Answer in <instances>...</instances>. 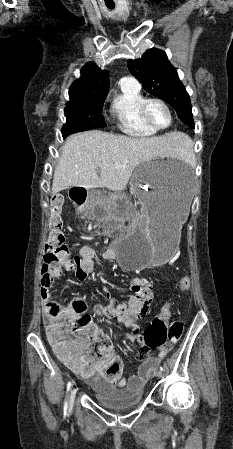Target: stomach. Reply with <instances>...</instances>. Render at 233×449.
I'll use <instances>...</instances> for the list:
<instances>
[{"label":"stomach","instance_id":"0dacf381","mask_svg":"<svg viewBox=\"0 0 233 449\" xmlns=\"http://www.w3.org/2000/svg\"><path fill=\"white\" fill-rule=\"evenodd\" d=\"M132 193L145 207L143 220L116 243V259L125 270L162 265L175 254L180 229L188 218L193 179L189 166L180 161H147L139 164L130 182ZM119 195L91 197L83 212L91 219L124 221ZM110 208V209H109Z\"/></svg>","mask_w":233,"mask_h":449}]
</instances>
